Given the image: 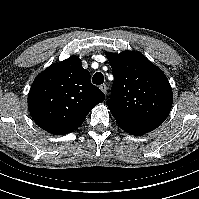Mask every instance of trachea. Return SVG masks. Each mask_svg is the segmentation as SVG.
<instances>
[{
    "mask_svg": "<svg viewBox=\"0 0 199 199\" xmlns=\"http://www.w3.org/2000/svg\"><path fill=\"white\" fill-rule=\"evenodd\" d=\"M92 82L96 85L103 84L104 76L101 72H96L92 78Z\"/></svg>",
    "mask_w": 199,
    "mask_h": 199,
    "instance_id": "trachea-1",
    "label": "trachea"
}]
</instances>
